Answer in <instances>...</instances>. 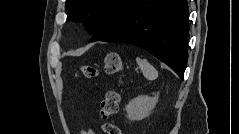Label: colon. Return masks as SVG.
Wrapping results in <instances>:
<instances>
[{"label": "colon", "mask_w": 239, "mask_h": 134, "mask_svg": "<svg viewBox=\"0 0 239 134\" xmlns=\"http://www.w3.org/2000/svg\"><path fill=\"white\" fill-rule=\"evenodd\" d=\"M105 71L109 74L120 72L123 69V62L118 53L110 52L105 57ZM81 73L87 78H95L98 70L92 65H83ZM120 94L116 89L109 90L101 100L99 114L102 118L107 119L117 114L120 104ZM105 134H121L120 128L112 123H105L102 126Z\"/></svg>", "instance_id": "colon-1"}]
</instances>
